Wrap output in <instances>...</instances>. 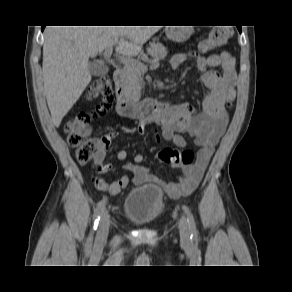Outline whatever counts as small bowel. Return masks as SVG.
Wrapping results in <instances>:
<instances>
[{"label": "small bowel", "instance_id": "small-bowel-1", "mask_svg": "<svg viewBox=\"0 0 292 292\" xmlns=\"http://www.w3.org/2000/svg\"><path fill=\"white\" fill-rule=\"evenodd\" d=\"M188 59H194L197 70L202 74L201 80L208 90L202 109L197 112L189 103L166 104L163 112L152 120L160 128L153 135L156 142L164 139L177 147H184L186 139L181 133H186L198 147L196 162L191 165H171L182 170V175L171 182L161 181L142 165L144 158L141 154H136L132 162L124 165V169L132 174L134 185L155 183L173 198L189 196L200 183L215 146L226 130L229 121L226 103L234 99L237 84L236 60L231 53L223 51L209 56L195 52L179 53L171 58V66L177 69ZM217 67L221 68V72L209 69ZM147 125V122H141L137 132L147 134ZM117 137L118 133L112 131L94 139L96 152L93 164L97 173L104 174L113 169V165L104 163V159L106 150ZM117 158L125 161L128 158L127 151L119 150ZM127 182L126 177L114 181L109 192L113 195L120 193Z\"/></svg>", "mask_w": 292, "mask_h": 292}]
</instances>
